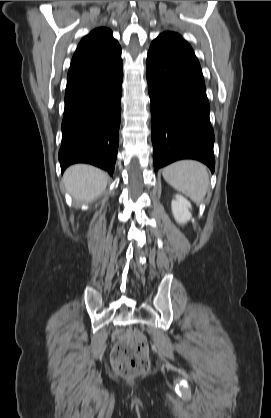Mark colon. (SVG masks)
I'll return each mask as SVG.
<instances>
[{"label":"colon","mask_w":271,"mask_h":418,"mask_svg":"<svg viewBox=\"0 0 271 418\" xmlns=\"http://www.w3.org/2000/svg\"><path fill=\"white\" fill-rule=\"evenodd\" d=\"M111 353L114 371L123 376H134L149 367L148 345L145 337L136 330L119 331L114 335Z\"/></svg>","instance_id":"5ec220e1"}]
</instances>
